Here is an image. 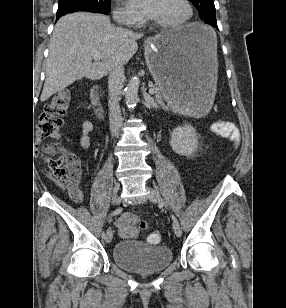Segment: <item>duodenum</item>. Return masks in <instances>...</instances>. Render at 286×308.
<instances>
[{"mask_svg": "<svg viewBox=\"0 0 286 308\" xmlns=\"http://www.w3.org/2000/svg\"><path fill=\"white\" fill-rule=\"evenodd\" d=\"M99 86L95 85L90 90L91 102L93 105V109L98 116V118H103V108L98 98Z\"/></svg>", "mask_w": 286, "mask_h": 308, "instance_id": "410a0bca", "label": "duodenum"}]
</instances>
